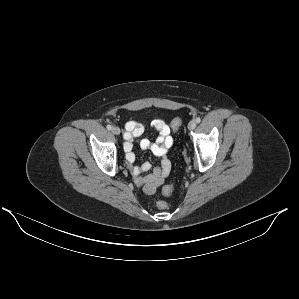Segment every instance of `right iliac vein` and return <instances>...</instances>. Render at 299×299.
<instances>
[{
    "instance_id": "1",
    "label": "right iliac vein",
    "mask_w": 299,
    "mask_h": 299,
    "mask_svg": "<svg viewBox=\"0 0 299 299\" xmlns=\"http://www.w3.org/2000/svg\"><path fill=\"white\" fill-rule=\"evenodd\" d=\"M112 133L115 134V135H119L120 134V129L115 126V127L112 128Z\"/></svg>"
}]
</instances>
